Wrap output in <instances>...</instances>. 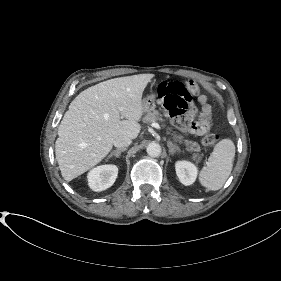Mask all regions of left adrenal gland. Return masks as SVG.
Returning a JSON list of instances; mask_svg holds the SVG:
<instances>
[{
    "label": "left adrenal gland",
    "instance_id": "left-adrenal-gland-1",
    "mask_svg": "<svg viewBox=\"0 0 281 281\" xmlns=\"http://www.w3.org/2000/svg\"><path fill=\"white\" fill-rule=\"evenodd\" d=\"M167 145L169 147V153L171 155H174V153L176 152H180V148L177 145L173 144L171 141H167Z\"/></svg>",
    "mask_w": 281,
    "mask_h": 281
}]
</instances>
